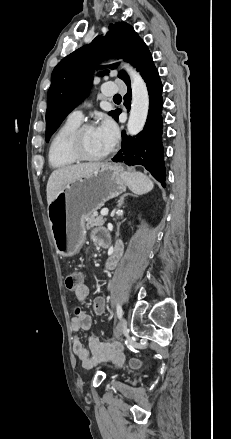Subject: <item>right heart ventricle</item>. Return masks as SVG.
I'll return each instance as SVG.
<instances>
[{"label":"right heart ventricle","mask_w":231,"mask_h":439,"mask_svg":"<svg viewBox=\"0 0 231 439\" xmlns=\"http://www.w3.org/2000/svg\"><path fill=\"white\" fill-rule=\"evenodd\" d=\"M80 122L67 118L57 129L48 148V162L53 169H66L78 162L67 149V139Z\"/></svg>","instance_id":"1"}]
</instances>
